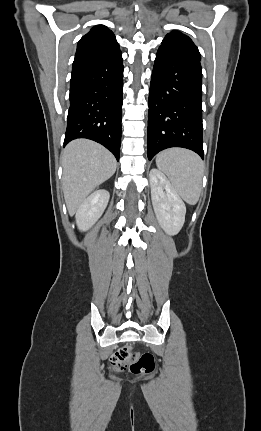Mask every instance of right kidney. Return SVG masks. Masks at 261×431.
Here are the masks:
<instances>
[{
    "label": "right kidney",
    "instance_id": "ca27d5eb",
    "mask_svg": "<svg viewBox=\"0 0 261 431\" xmlns=\"http://www.w3.org/2000/svg\"><path fill=\"white\" fill-rule=\"evenodd\" d=\"M110 194L107 190L92 193L76 212V223L81 231H87L103 214Z\"/></svg>",
    "mask_w": 261,
    "mask_h": 431
}]
</instances>
